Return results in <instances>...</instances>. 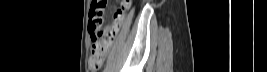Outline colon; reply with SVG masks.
I'll return each instance as SVG.
<instances>
[{
	"mask_svg": "<svg viewBox=\"0 0 267 72\" xmlns=\"http://www.w3.org/2000/svg\"><path fill=\"white\" fill-rule=\"evenodd\" d=\"M106 4V0L94 1L91 12V20L89 23V31L92 39L95 41L89 56V67L94 71L101 67L107 50L109 49L118 30L116 23L108 26L105 30H101L103 10ZM103 35H105V39L99 40Z\"/></svg>",
	"mask_w": 267,
	"mask_h": 72,
	"instance_id": "5ec220e1",
	"label": "colon"
}]
</instances>
